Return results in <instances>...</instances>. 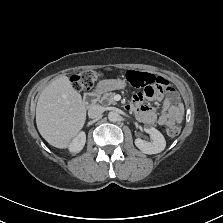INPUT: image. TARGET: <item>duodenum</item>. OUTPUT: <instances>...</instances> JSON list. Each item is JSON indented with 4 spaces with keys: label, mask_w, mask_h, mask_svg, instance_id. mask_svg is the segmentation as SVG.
Listing matches in <instances>:
<instances>
[{
    "label": "duodenum",
    "mask_w": 223,
    "mask_h": 223,
    "mask_svg": "<svg viewBox=\"0 0 223 223\" xmlns=\"http://www.w3.org/2000/svg\"><path fill=\"white\" fill-rule=\"evenodd\" d=\"M101 88V86H97L94 90L86 92L84 94V103L88 106L94 105L101 93Z\"/></svg>",
    "instance_id": "1"
}]
</instances>
